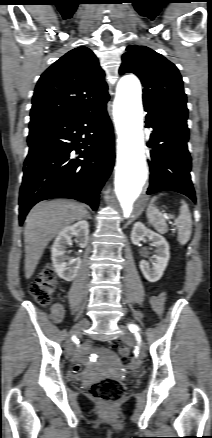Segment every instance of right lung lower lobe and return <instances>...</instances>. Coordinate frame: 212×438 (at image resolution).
Here are the masks:
<instances>
[{"mask_svg":"<svg viewBox=\"0 0 212 438\" xmlns=\"http://www.w3.org/2000/svg\"><path fill=\"white\" fill-rule=\"evenodd\" d=\"M29 153L19 198V222L39 201L72 198L96 210L114 166V137L106 104L77 116L30 123Z\"/></svg>","mask_w":212,"mask_h":438,"instance_id":"98d812e1","label":"right lung lower lobe"}]
</instances>
